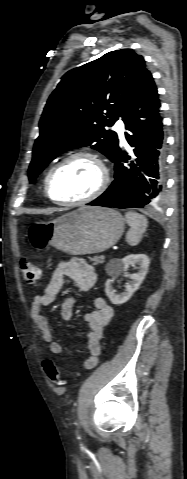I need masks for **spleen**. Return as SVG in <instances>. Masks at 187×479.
Listing matches in <instances>:
<instances>
[{
    "label": "spleen",
    "instance_id": "1",
    "mask_svg": "<svg viewBox=\"0 0 187 479\" xmlns=\"http://www.w3.org/2000/svg\"><path fill=\"white\" fill-rule=\"evenodd\" d=\"M125 218L130 226V230L126 234V241L130 246H136L146 231L148 220L144 215L133 211L126 212Z\"/></svg>",
    "mask_w": 187,
    "mask_h": 479
}]
</instances>
